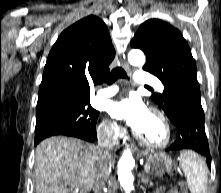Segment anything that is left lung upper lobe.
<instances>
[{
	"label": "left lung upper lobe",
	"mask_w": 221,
	"mask_h": 193,
	"mask_svg": "<svg viewBox=\"0 0 221 193\" xmlns=\"http://www.w3.org/2000/svg\"><path fill=\"white\" fill-rule=\"evenodd\" d=\"M130 44L145 52L147 61L143 69L163 83V94H152L151 99L173 123L177 119L178 99L191 92L200 94L196 65L187 42L170 24L150 19L141 24Z\"/></svg>",
	"instance_id": "left-lung-upper-lobe-1"
}]
</instances>
